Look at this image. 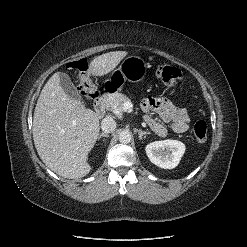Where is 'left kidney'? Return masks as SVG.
Instances as JSON below:
<instances>
[{
	"label": "left kidney",
	"instance_id": "left-kidney-1",
	"mask_svg": "<svg viewBox=\"0 0 247 247\" xmlns=\"http://www.w3.org/2000/svg\"><path fill=\"white\" fill-rule=\"evenodd\" d=\"M185 149L182 142L168 139L152 142L145 150L153 164L163 169H173L179 164Z\"/></svg>",
	"mask_w": 247,
	"mask_h": 247
}]
</instances>
